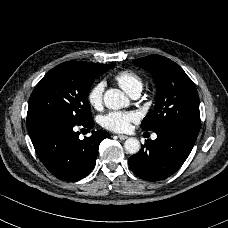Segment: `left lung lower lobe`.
<instances>
[{
  "label": "left lung lower lobe",
  "mask_w": 228,
  "mask_h": 228,
  "mask_svg": "<svg viewBox=\"0 0 228 228\" xmlns=\"http://www.w3.org/2000/svg\"><path fill=\"white\" fill-rule=\"evenodd\" d=\"M156 134V140H146L142 149L129 158L131 170L147 181L174 174L189 156L198 136L178 129H163Z\"/></svg>",
  "instance_id": "1"
}]
</instances>
